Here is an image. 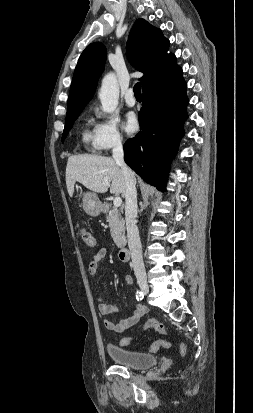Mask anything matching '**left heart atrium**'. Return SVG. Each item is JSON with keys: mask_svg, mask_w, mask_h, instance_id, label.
<instances>
[{"mask_svg": "<svg viewBox=\"0 0 253 413\" xmlns=\"http://www.w3.org/2000/svg\"><path fill=\"white\" fill-rule=\"evenodd\" d=\"M122 126L127 134H133L134 132H136L139 125H138V119L135 113L133 112L127 113Z\"/></svg>", "mask_w": 253, "mask_h": 413, "instance_id": "39dd6f15", "label": "left heart atrium"}]
</instances>
